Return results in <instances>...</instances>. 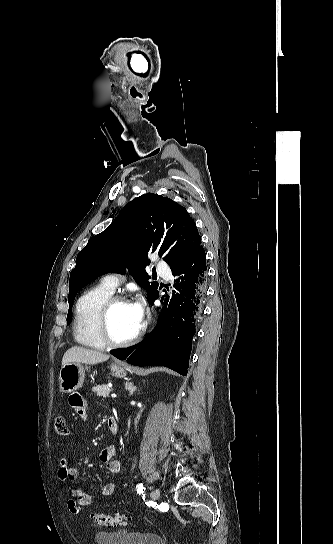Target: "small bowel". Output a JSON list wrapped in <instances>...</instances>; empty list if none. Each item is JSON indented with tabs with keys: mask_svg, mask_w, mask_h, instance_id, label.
Returning a JSON list of instances; mask_svg holds the SVG:
<instances>
[{
	"mask_svg": "<svg viewBox=\"0 0 333 544\" xmlns=\"http://www.w3.org/2000/svg\"><path fill=\"white\" fill-rule=\"evenodd\" d=\"M69 405L80 419H87V403L82 395L79 393L71 394L69 396ZM107 424L111 435L116 436L119 432L117 420L110 418L108 419ZM116 454V447L114 445H109L103 448L99 455L101 463L111 474L119 473L122 467V463L114 458ZM58 477L63 482L67 492L69 493L68 508L70 512L75 515L82 514L85 509L92 505L93 499L77 486V471L76 469L69 467L66 459H62L59 463ZM114 492L115 484L109 482L103 486L101 495L108 497L113 495Z\"/></svg>",
	"mask_w": 333,
	"mask_h": 544,
	"instance_id": "obj_1",
	"label": "small bowel"
}]
</instances>
